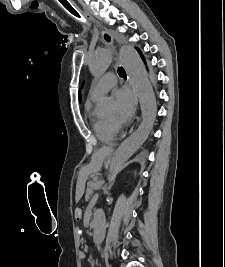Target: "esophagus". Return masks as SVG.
<instances>
[{"label":"esophagus","instance_id":"1","mask_svg":"<svg viewBox=\"0 0 225 267\" xmlns=\"http://www.w3.org/2000/svg\"><path fill=\"white\" fill-rule=\"evenodd\" d=\"M102 36L108 45L115 48L113 37L108 32H103ZM105 36H108L109 39L107 40ZM125 136H126V133L122 134L121 139L124 138ZM110 151H113V146H110Z\"/></svg>","mask_w":225,"mask_h":267}]
</instances>
